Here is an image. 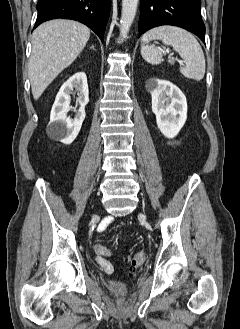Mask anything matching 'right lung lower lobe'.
I'll use <instances>...</instances> for the list:
<instances>
[{
    "mask_svg": "<svg viewBox=\"0 0 240 329\" xmlns=\"http://www.w3.org/2000/svg\"><path fill=\"white\" fill-rule=\"evenodd\" d=\"M35 27L57 19H72L91 28L103 42L110 13V0H39Z\"/></svg>",
    "mask_w": 240,
    "mask_h": 329,
    "instance_id": "right-lung-lower-lobe-1",
    "label": "right lung lower lobe"
}]
</instances>
